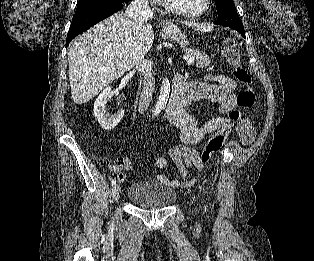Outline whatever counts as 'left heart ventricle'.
I'll use <instances>...</instances> for the list:
<instances>
[{
  "mask_svg": "<svg viewBox=\"0 0 314 261\" xmlns=\"http://www.w3.org/2000/svg\"><path fill=\"white\" fill-rule=\"evenodd\" d=\"M174 6L186 10L197 11L203 8L205 0H169Z\"/></svg>",
  "mask_w": 314,
  "mask_h": 261,
  "instance_id": "left-heart-ventricle-1",
  "label": "left heart ventricle"
}]
</instances>
